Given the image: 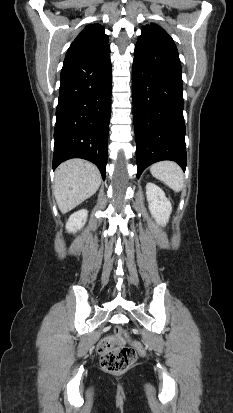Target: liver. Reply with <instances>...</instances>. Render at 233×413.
Wrapping results in <instances>:
<instances>
[{"label":"liver","mask_w":233,"mask_h":413,"mask_svg":"<svg viewBox=\"0 0 233 413\" xmlns=\"http://www.w3.org/2000/svg\"><path fill=\"white\" fill-rule=\"evenodd\" d=\"M98 168L83 159H71L59 165L55 172L53 194L58 208L66 213L91 197L99 188Z\"/></svg>","instance_id":"liver-1"}]
</instances>
